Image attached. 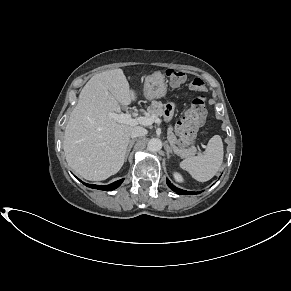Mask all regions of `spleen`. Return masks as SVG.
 Returning <instances> with one entry per match:
<instances>
[{
  "label": "spleen",
  "instance_id": "1",
  "mask_svg": "<svg viewBox=\"0 0 291 291\" xmlns=\"http://www.w3.org/2000/svg\"><path fill=\"white\" fill-rule=\"evenodd\" d=\"M223 142L219 135H214L208 142L203 154L192 156L180 162V167L186 170L199 182H206L219 171L223 162Z\"/></svg>",
  "mask_w": 291,
  "mask_h": 291
}]
</instances>
